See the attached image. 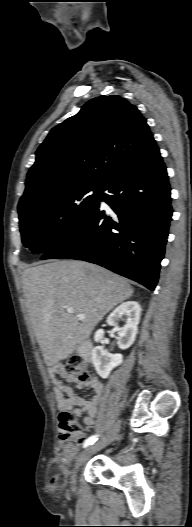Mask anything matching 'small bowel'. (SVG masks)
Returning <instances> with one entry per match:
<instances>
[{
	"mask_svg": "<svg viewBox=\"0 0 192 527\" xmlns=\"http://www.w3.org/2000/svg\"><path fill=\"white\" fill-rule=\"evenodd\" d=\"M49 374L58 390L59 409L62 411H70L74 416H83L84 424L88 427H93L98 405L104 394V385L96 378L80 381L76 377L68 374L61 366L51 367ZM59 378L63 379L66 383L61 382ZM73 386L78 389L92 391V398L90 400L84 399L75 392Z\"/></svg>",
	"mask_w": 192,
	"mask_h": 527,
	"instance_id": "small-bowel-1",
	"label": "small bowel"
}]
</instances>
